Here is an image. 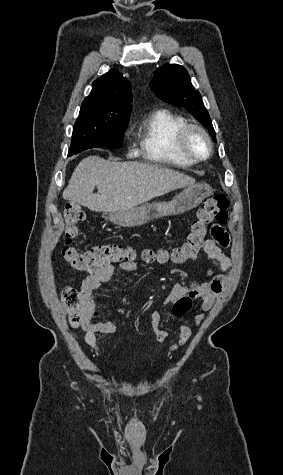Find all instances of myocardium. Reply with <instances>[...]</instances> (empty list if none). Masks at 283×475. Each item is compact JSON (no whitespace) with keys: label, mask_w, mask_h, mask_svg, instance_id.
<instances>
[{"label":"myocardium","mask_w":283,"mask_h":475,"mask_svg":"<svg viewBox=\"0 0 283 475\" xmlns=\"http://www.w3.org/2000/svg\"><path fill=\"white\" fill-rule=\"evenodd\" d=\"M193 131L198 132L207 142L208 151L204 156H195L191 155L186 150V144L189 137V134ZM172 145L175 146L180 152L182 156H173L166 150V145L162 146V157L166 162H203L209 159L213 154V141L207 131L199 124L196 123H187L182 128L178 130V132L174 135L172 139Z\"/></svg>","instance_id":"1"}]
</instances>
